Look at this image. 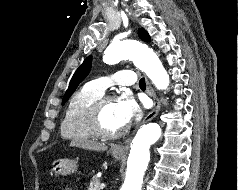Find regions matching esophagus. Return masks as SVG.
Listing matches in <instances>:
<instances>
[{"label":"esophagus","mask_w":238,"mask_h":190,"mask_svg":"<svg viewBox=\"0 0 238 190\" xmlns=\"http://www.w3.org/2000/svg\"><path fill=\"white\" fill-rule=\"evenodd\" d=\"M146 87H147V93L149 94V96L152 97L154 104H153V108L152 110L146 115L144 122H148L150 120H152L154 117H156L160 111V107H161V103L160 100L158 99L154 89L152 88L150 82L148 81V79H146ZM128 140H126L127 142ZM115 150L117 151H123L124 150V146L122 144L116 145L114 147Z\"/></svg>","instance_id":"1"}]
</instances>
